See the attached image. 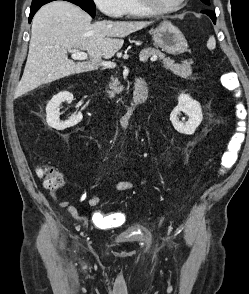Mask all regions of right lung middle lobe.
Instances as JSON below:
<instances>
[{"instance_id":"dd1d6c3e","label":"right lung middle lobe","mask_w":249,"mask_h":294,"mask_svg":"<svg viewBox=\"0 0 249 294\" xmlns=\"http://www.w3.org/2000/svg\"><path fill=\"white\" fill-rule=\"evenodd\" d=\"M51 1H54V0H33L31 7L44 5ZM65 1H69L71 3L78 5L83 10H85L88 14H90L92 17H95L96 7L93 0H65Z\"/></svg>"}]
</instances>
